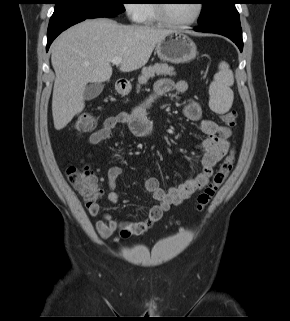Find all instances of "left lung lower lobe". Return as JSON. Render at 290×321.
I'll list each match as a JSON object with an SVG mask.
<instances>
[{
    "label": "left lung lower lobe",
    "instance_id": "left-lung-lower-lobe-1",
    "mask_svg": "<svg viewBox=\"0 0 290 321\" xmlns=\"http://www.w3.org/2000/svg\"><path fill=\"white\" fill-rule=\"evenodd\" d=\"M198 32L216 33L231 39L242 52L243 40H242V29L240 25L239 13L235 9L222 15L218 19L209 23L199 25L195 29Z\"/></svg>",
    "mask_w": 290,
    "mask_h": 321
}]
</instances>
